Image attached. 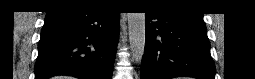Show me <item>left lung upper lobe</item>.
I'll list each match as a JSON object with an SVG mask.
<instances>
[{"mask_svg": "<svg viewBox=\"0 0 255 79\" xmlns=\"http://www.w3.org/2000/svg\"><path fill=\"white\" fill-rule=\"evenodd\" d=\"M161 2H163L165 4H175V3H178L175 0H164V1H161Z\"/></svg>", "mask_w": 255, "mask_h": 79, "instance_id": "left-lung-upper-lobe-1", "label": "left lung upper lobe"}]
</instances>
